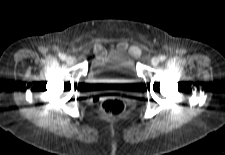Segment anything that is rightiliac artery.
I'll return each mask as SVG.
<instances>
[{
  "instance_id": "82829eb1",
  "label": "right iliac artery",
  "mask_w": 225,
  "mask_h": 155,
  "mask_svg": "<svg viewBox=\"0 0 225 155\" xmlns=\"http://www.w3.org/2000/svg\"><path fill=\"white\" fill-rule=\"evenodd\" d=\"M59 57H60V59L65 60L66 55L65 54H60Z\"/></svg>"
}]
</instances>
